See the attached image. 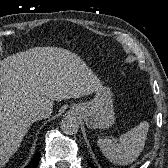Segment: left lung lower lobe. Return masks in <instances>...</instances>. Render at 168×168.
Instances as JSON below:
<instances>
[{
  "instance_id": "1",
  "label": "left lung lower lobe",
  "mask_w": 168,
  "mask_h": 168,
  "mask_svg": "<svg viewBox=\"0 0 168 168\" xmlns=\"http://www.w3.org/2000/svg\"><path fill=\"white\" fill-rule=\"evenodd\" d=\"M88 164H89V166H90L91 168H95V166L93 165V163H91V162L88 161Z\"/></svg>"
}]
</instances>
